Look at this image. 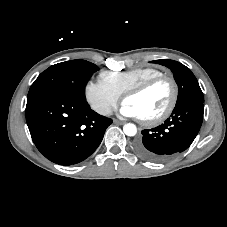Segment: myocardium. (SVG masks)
I'll return each mask as SVG.
<instances>
[{"label": "myocardium", "mask_w": 227, "mask_h": 227, "mask_svg": "<svg viewBox=\"0 0 227 227\" xmlns=\"http://www.w3.org/2000/svg\"><path fill=\"white\" fill-rule=\"evenodd\" d=\"M164 80H166L170 83L171 89H172V95H171L169 104L157 116H154L152 118H147V119L140 118V121L145 125L152 126V125L159 124V123L165 121L174 111V109L177 105L178 96H179V88H178V84H177L175 78L170 75H167V74H161V75H158V76L145 80L144 82L130 88L123 94V101H125L126 98L131 97V96L140 95V94L146 92L147 90H149L155 84H157L161 81H164Z\"/></svg>", "instance_id": "obj_1"}]
</instances>
